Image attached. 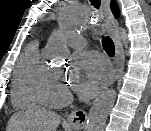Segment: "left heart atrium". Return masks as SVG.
<instances>
[{"label": "left heart atrium", "instance_id": "left-heart-atrium-1", "mask_svg": "<svg viewBox=\"0 0 151 131\" xmlns=\"http://www.w3.org/2000/svg\"><path fill=\"white\" fill-rule=\"evenodd\" d=\"M109 78L107 66L97 55L82 53L75 57L69 86L78 95L90 98L104 87Z\"/></svg>", "mask_w": 151, "mask_h": 131}]
</instances>
